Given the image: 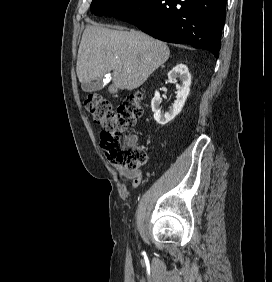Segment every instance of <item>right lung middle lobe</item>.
<instances>
[{"instance_id":"1","label":"right lung middle lobe","mask_w":272,"mask_h":282,"mask_svg":"<svg viewBox=\"0 0 272 282\" xmlns=\"http://www.w3.org/2000/svg\"><path fill=\"white\" fill-rule=\"evenodd\" d=\"M137 1L138 0H93L91 3V12L98 16L112 15Z\"/></svg>"}]
</instances>
